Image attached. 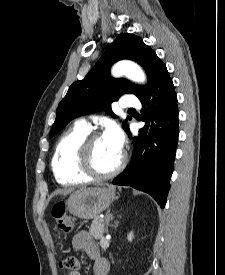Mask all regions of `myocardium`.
<instances>
[{"label":"myocardium","instance_id":"f54148a6","mask_svg":"<svg viewBox=\"0 0 225 275\" xmlns=\"http://www.w3.org/2000/svg\"><path fill=\"white\" fill-rule=\"evenodd\" d=\"M101 134L99 133H89L85 136L80 142L77 148V159L76 166L77 169L87 178L95 179V180H105L110 179L117 174H119L125 167L126 164V155L124 153L121 154V158L117 164V166L107 173H99L97 172L92 165V145L93 143L101 138Z\"/></svg>","mask_w":225,"mask_h":275}]
</instances>
